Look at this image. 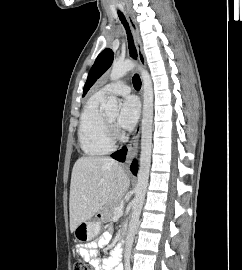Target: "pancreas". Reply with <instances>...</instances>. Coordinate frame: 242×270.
Listing matches in <instances>:
<instances>
[{
  "label": "pancreas",
  "mask_w": 242,
  "mask_h": 270,
  "mask_svg": "<svg viewBox=\"0 0 242 270\" xmlns=\"http://www.w3.org/2000/svg\"><path fill=\"white\" fill-rule=\"evenodd\" d=\"M122 202L120 200L118 201H112L107 203L104 207H103V215H104V221L108 222L111 221V219L113 218V216L115 215V208L118 205H121Z\"/></svg>",
  "instance_id": "cf45deb5"
}]
</instances>
